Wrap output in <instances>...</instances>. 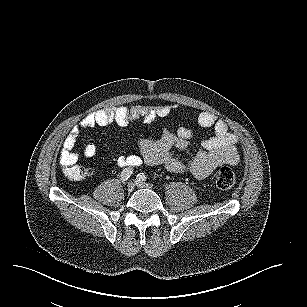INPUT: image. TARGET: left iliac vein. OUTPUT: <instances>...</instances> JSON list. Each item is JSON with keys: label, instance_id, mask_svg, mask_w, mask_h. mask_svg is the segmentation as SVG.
<instances>
[{"label": "left iliac vein", "instance_id": "left-iliac-vein-1", "mask_svg": "<svg viewBox=\"0 0 307 307\" xmlns=\"http://www.w3.org/2000/svg\"><path fill=\"white\" fill-rule=\"evenodd\" d=\"M137 186L140 187V188H151L152 187V185L150 183H145V182H142V181H138Z\"/></svg>", "mask_w": 307, "mask_h": 307}]
</instances>
